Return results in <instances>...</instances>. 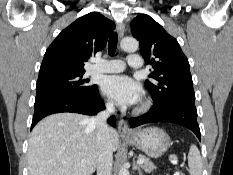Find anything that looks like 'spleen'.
I'll list each match as a JSON object with an SVG mask.
<instances>
[{"label": "spleen", "mask_w": 233, "mask_h": 175, "mask_svg": "<svg viewBox=\"0 0 233 175\" xmlns=\"http://www.w3.org/2000/svg\"><path fill=\"white\" fill-rule=\"evenodd\" d=\"M190 175H202V158L196 145L192 144L188 154Z\"/></svg>", "instance_id": "1"}]
</instances>
